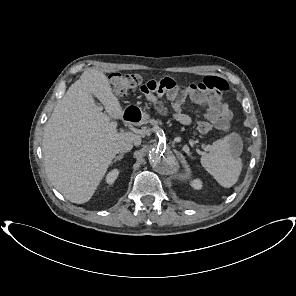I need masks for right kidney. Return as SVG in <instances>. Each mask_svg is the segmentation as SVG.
<instances>
[{"instance_id": "obj_1", "label": "right kidney", "mask_w": 296, "mask_h": 296, "mask_svg": "<svg viewBox=\"0 0 296 296\" xmlns=\"http://www.w3.org/2000/svg\"><path fill=\"white\" fill-rule=\"evenodd\" d=\"M119 171L117 169H113L110 171L106 176V182L108 184H113L114 181L117 179Z\"/></svg>"}]
</instances>
